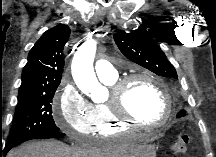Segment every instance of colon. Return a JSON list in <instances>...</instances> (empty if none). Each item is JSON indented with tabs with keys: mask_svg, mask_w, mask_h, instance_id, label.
Segmentation results:
<instances>
[{
	"mask_svg": "<svg viewBox=\"0 0 216 157\" xmlns=\"http://www.w3.org/2000/svg\"><path fill=\"white\" fill-rule=\"evenodd\" d=\"M189 143H190L189 134L185 130L180 131L174 142L172 148L173 152L176 155H184L188 150Z\"/></svg>",
	"mask_w": 216,
	"mask_h": 157,
	"instance_id": "obj_1",
	"label": "colon"
}]
</instances>
